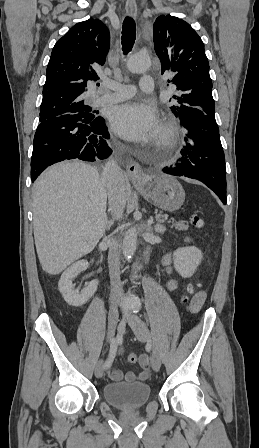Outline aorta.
<instances>
[{"label":"aorta","instance_id":"aorta-1","mask_svg":"<svg viewBox=\"0 0 259 448\" xmlns=\"http://www.w3.org/2000/svg\"><path fill=\"white\" fill-rule=\"evenodd\" d=\"M151 65L150 58L145 55L135 54L132 55L128 62L127 67L132 73H142L149 69ZM137 247V231L135 227L129 228L123 238V255L129 260L132 258Z\"/></svg>","mask_w":259,"mask_h":448}]
</instances>
